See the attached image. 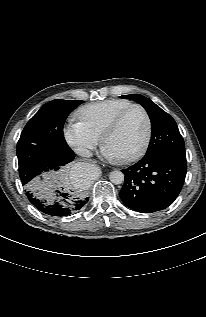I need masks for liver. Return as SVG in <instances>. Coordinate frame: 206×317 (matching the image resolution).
Masks as SVG:
<instances>
[{
  "label": "liver",
  "instance_id": "6515ba94",
  "mask_svg": "<svg viewBox=\"0 0 206 317\" xmlns=\"http://www.w3.org/2000/svg\"><path fill=\"white\" fill-rule=\"evenodd\" d=\"M45 178H46V180L43 182L41 190L45 191L44 193H46L48 195V199H50V198H52V193L50 192L51 191V184L47 180V179H49V177H45Z\"/></svg>",
  "mask_w": 206,
  "mask_h": 317
}]
</instances>
